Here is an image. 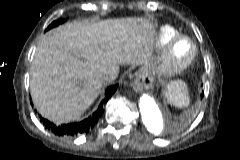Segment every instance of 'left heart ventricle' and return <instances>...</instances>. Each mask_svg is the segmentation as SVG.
<instances>
[{"instance_id": "left-heart-ventricle-1", "label": "left heart ventricle", "mask_w": 240, "mask_h": 160, "mask_svg": "<svg viewBox=\"0 0 240 160\" xmlns=\"http://www.w3.org/2000/svg\"><path fill=\"white\" fill-rule=\"evenodd\" d=\"M176 54L179 56V57H184L186 56L189 51H190V46L187 42H179L177 45H176Z\"/></svg>"}]
</instances>
